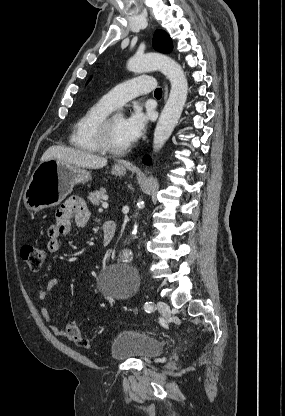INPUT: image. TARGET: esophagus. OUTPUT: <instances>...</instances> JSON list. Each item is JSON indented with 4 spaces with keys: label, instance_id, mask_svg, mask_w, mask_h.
<instances>
[{
    "label": "esophagus",
    "instance_id": "esophagus-1",
    "mask_svg": "<svg viewBox=\"0 0 285 416\" xmlns=\"http://www.w3.org/2000/svg\"><path fill=\"white\" fill-rule=\"evenodd\" d=\"M167 95H168V86L167 85H165V88H164V100H166L167 99ZM125 166H129V165H127V163H123Z\"/></svg>",
    "mask_w": 285,
    "mask_h": 416
}]
</instances>
